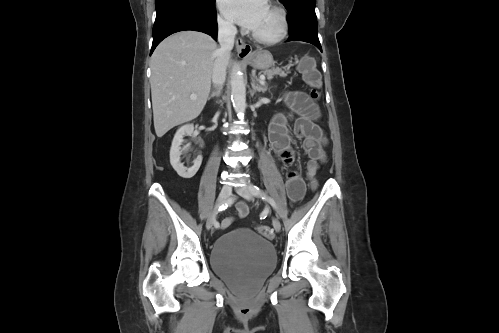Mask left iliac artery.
Wrapping results in <instances>:
<instances>
[{
	"label": "left iliac artery",
	"instance_id": "obj_1",
	"mask_svg": "<svg viewBox=\"0 0 499 333\" xmlns=\"http://www.w3.org/2000/svg\"><path fill=\"white\" fill-rule=\"evenodd\" d=\"M250 191L253 195L255 196H258L260 198H262L263 200L267 201L275 210L277 209V206H276V202L274 201V199H272L271 197H269L265 192H263V190H261L258 186L256 185H251L250 187Z\"/></svg>",
	"mask_w": 499,
	"mask_h": 333
}]
</instances>
